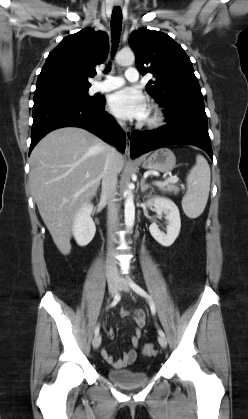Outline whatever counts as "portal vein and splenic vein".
Returning a JSON list of instances; mask_svg holds the SVG:
<instances>
[{
  "label": "portal vein and splenic vein",
  "mask_w": 248,
  "mask_h": 419,
  "mask_svg": "<svg viewBox=\"0 0 248 419\" xmlns=\"http://www.w3.org/2000/svg\"><path fill=\"white\" fill-rule=\"evenodd\" d=\"M178 177L177 176H171L170 178H168V179H166V182L165 183H160V182H156L155 184L156 185H161V184H166V183H168V182H171V183H176V182H178Z\"/></svg>",
  "instance_id": "portal-vein-and-splenic-vein-1"
}]
</instances>
